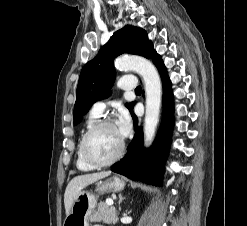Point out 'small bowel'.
<instances>
[{
  "label": "small bowel",
  "instance_id": "obj_1",
  "mask_svg": "<svg viewBox=\"0 0 247 226\" xmlns=\"http://www.w3.org/2000/svg\"><path fill=\"white\" fill-rule=\"evenodd\" d=\"M94 226H102V225H94Z\"/></svg>",
  "mask_w": 247,
  "mask_h": 226
}]
</instances>
